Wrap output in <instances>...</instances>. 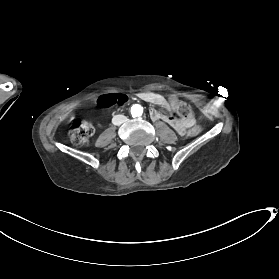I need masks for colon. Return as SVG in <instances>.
Returning <instances> with one entry per match:
<instances>
[{
  "label": "colon",
  "instance_id": "colon-1",
  "mask_svg": "<svg viewBox=\"0 0 279 279\" xmlns=\"http://www.w3.org/2000/svg\"><path fill=\"white\" fill-rule=\"evenodd\" d=\"M128 101V97L122 93L104 94L98 99V104L101 107L109 108L124 105ZM177 114L182 119H190L193 116L191 107L185 102H178L175 107ZM202 131L201 126H194L188 132L189 137H195ZM95 133V127L88 122L74 120L70 127V139L75 144H82L88 141Z\"/></svg>",
  "mask_w": 279,
  "mask_h": 279
}]
</instances>
